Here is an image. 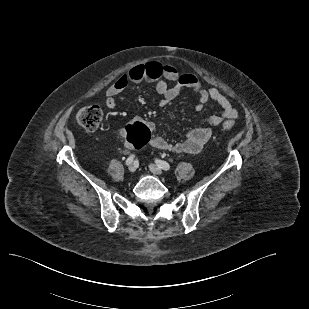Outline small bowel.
<instances>
[{
    "instance_id": "small-bowel-1",
    "label": "small bowel",
    "mask_w": 309,
    "mask_h": 309,
    "mask_svg": "<svg viewBox=\"0 0 309 309\" xmlns=\"http://www.w3.org/2000/svg\"><path fill=\"white\" fill-rule=\"evenodd\" d=\"M142 81L154 84L155 91L162 96V104L169 103L187 89L197 98L196 110H202L209 100L216 102L222 108V112L218 115L211 116L206 125L189 130L185 139L181 142L172 144L161 136H151L148 143L153 148L174 153L197 154L211 139L214 127L219 126L224 121L233 122L238 116V112L231 101L217 88L212 87L206 89L195 75H179L175 68L164 66L157 62L134 66L114 81L105 91V105L109 109H114L117 105L116 96L130 83H139ZM167 81H172L174 84L169 85ZM136 122L144 123L150 132L154 130L152 123L143 122L140 119L134 118L130 124ZM121 135L125 140L126 148L133 149L127 140L126 128L122 129Z\"/></svg>"
}]
</instances>
